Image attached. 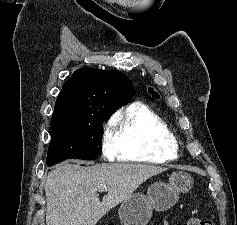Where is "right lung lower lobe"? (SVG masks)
Here are the masks:
<instances>
[{
  "label": "right lung lower lobe",
  "mask_w": 237,
  "mask_h": 225,
  "mask_svg": "<svg viewBox=\"0 0 237 225\" xmlns=\"http://www.w3.org/2000/svg\"><path fill=\"white\" fill-rule=\"evenodd\" d=\"M68 158H53V159H47V165L48 166H52V165H55L59 162H62L64 160H66Z\"/></svg>",
  "instance_id": "1"
}]
</instances>
